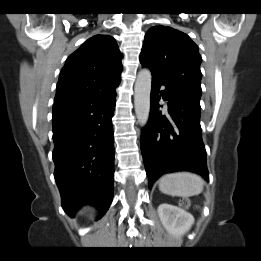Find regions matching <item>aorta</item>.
I'll return each mask as SVG.
<instances>
[{"label":"aorta","instance_id":"aorta-1","mask_svg":"<svg viewBox=\"0 0 261 261\" xmlns=\"http://www.w3.org/2000/svg\"><path fill=\"white\" fill-rule=\"evenodd\" d=\"M151 82V72L148 69H142L137 75L134 87L135 113L142 126L147 124L149 118Z\"/></svg>","mask_w":261,"mask_h":261}]
</instances>
